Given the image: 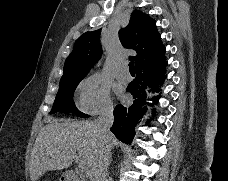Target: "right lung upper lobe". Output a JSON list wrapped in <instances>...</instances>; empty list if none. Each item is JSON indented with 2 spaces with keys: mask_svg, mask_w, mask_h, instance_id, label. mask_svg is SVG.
I'll list each match as a JSON object with an SVG mask.
<instances>
[{
  "mask_svg": "<svg viewBox=\"0 0 228 181\" xmlns=\"http://www.w3.org/2000/svg\"><path fill=\"white\" fill-rule=\"evenodd\" d=\"M119 38L124 48L137 52L135 57H130L136 66L163 47L155 20L139 10L132 12L129 24L119 31ZM101 55L100 29L84 33L65 62L60 83L82 80Z\"/></svg>",
  "mask_w": 228,
  "mask_h": 181,
  "instance_id": "right-lung-upper-lobe-1",
  "label": "right lung upper lobe"
}]
</instances>
